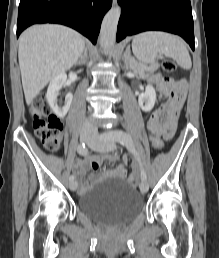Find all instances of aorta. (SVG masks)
Here are the masks:
<instances>
[{
    "instance_id": "1",
    "label": "aorta",
    "mask_w": 219,
    "mask_h": 258,
    "mask_svg": "<svg viewBox=\"0 0 219 258\" xmlns=\"http://www.w3.org/2000/svg\"><path fill=\"white\" fill-rule=\"evenodd\" d=\"M120 15L121 8L117 6L111 8L103 18L100 30V45L105 54L109 53L114 46Z\"/></svg>"
}]
</instances>
